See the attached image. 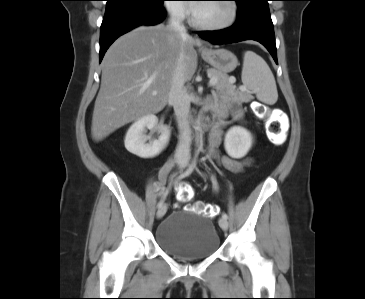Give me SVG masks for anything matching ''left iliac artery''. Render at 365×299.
I'll return each instance as SVG.
<instances>
[{
    "label": "left iliac artery",
    "mask_w": 365,
    "mask_h": 299,
    "mask_svg": "<svg viewBox=\"0 0 365 299\" xmlns=\"http://www.w3.org/2000/svg\"><path fill=\"white\" fill-rule=\"evenodd\" d=\"M211 180H212V183H213V186L216 190H218V183L216 181V179L214 177H211ZM222 217L227 219L228 218V215L226 213H222Z\"/></svg>",
    "instance_id": "44dca946"
}]
</instances>
